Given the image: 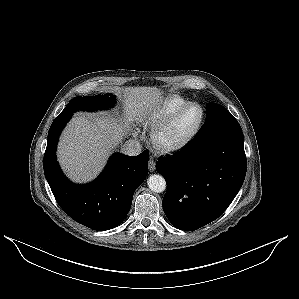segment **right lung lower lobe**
Listing matches in <instances>:
<instances>
[{
    "mask_svg": "<svg viewBox=\"0 0 299 299\" xmlns=\"http://www.w3.org/2000/svg\"><path fill=\"white\" fill-rule=\"evenodd\" d=\"M73 112L61 113L52 123L44 154V173L52 193L64 212L78 223L97 231L118 226L130 210L134 191L148 173L146 151L138 156L114 153L92 183L69 181L56 160L59 135Z\"/></svg>",
    "mask_w": 299,
    "mask_h": 299,
    "instance_id": "1",
    "label": "right lung lower lobe"
}]
</instances>
